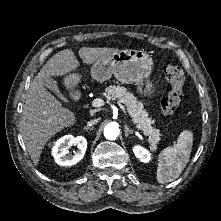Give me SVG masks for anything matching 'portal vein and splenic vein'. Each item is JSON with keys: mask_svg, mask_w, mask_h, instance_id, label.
I'll return each instance as SVG.
<instances>
[{"mask_svg": "<svg viewBox=\"0 0 221 221\" xmlns=\"http://www.w3.org/2000/svg\"><path fill=\"white\" fill-rule=\"evenodd\" d=\"M104 103H105V102H104L103 99H101V98H96V99H94V100L92 101L91 105H92L93 107L97 108V107L103 106ZM116 103H117V105L122 109V111L125 113V115H128V114H127V111H126V109H125V107L121 104V102H120V101H117ZM137 128H138V127H137Z\"/></svg>", "mask_w": 221, "mask_h": 221, "instance_id": "portal-vein-and-splenic-vein-1", "label": "portal vein and splenic vein"}]
</instances>
